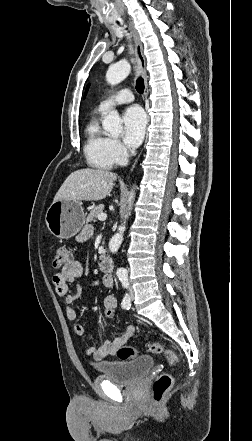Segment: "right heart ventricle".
<instances>
[{
	"label": "right heart ventricle",
	"mask_w": 252,
	"mask_h": 441,
	"mask_svg": "<svg viewBox=\"0 0 252 441\" xmlns=\"http://www.w3.org/2000/svg\"><path fill=\"white\" fill-rule=\"evenodd\" d=\"M84 155L96 169H111L115 161L110 152V138L101 130L98 117L92 116L85 127Z\"/></svg>",
	"instance_id": "right-heart-ventricle-1"
}]
</instances>
